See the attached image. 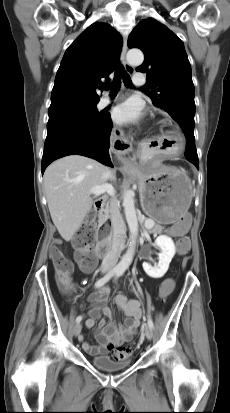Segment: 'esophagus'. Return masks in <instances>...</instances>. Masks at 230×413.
<instances>
[{"mask_svg": "<svg viewBox=\"0 0 230 413\" xmlns=\"http://www.w3.org/2000/svg\"><path fill=\"white\" fill-rule=\"evenodd\" d=\"M126 54H127V38L124 37L123 39V47L121 51V62L126 70V72L130 75L134 73V68L127 62L126 60ZM131 145L128 143L125 139L123 140L122 144L120 145L119 152L125 153L128 150H130Z\"/></svg>", "mask_w": 230, "mask_h": 413, "instance_id": "1", "label": "esophagus"}]
</instances>
